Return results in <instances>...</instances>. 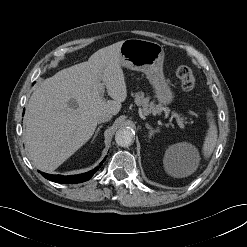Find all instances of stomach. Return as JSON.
<instances>
[{"label":"stomach","instance_id":"obj_1","mask_svg":"<svg viewBox=\"0 0 247 247\" xmlns=\"http://www.w3.org/2000/svg\"><path fill=\"white\" fill-rule=\"evenodd\" d=\"M121 65L143 72L152 85L159 106H167L174 100V93L163 73L164 49L157 42L130 38L120 48Z\"/></svg>","mask_w":247,"mask_h":247}]
</instances>
